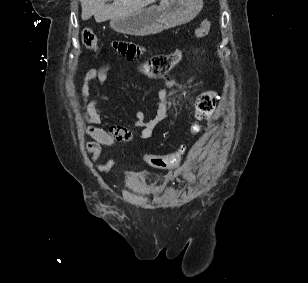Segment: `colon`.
Instances as JSON below:
<instances>
[{"instance_id":"1","label":"colon","mask_w":308,"mask_h":283,"mask_svg":"<svg viewBox=\"0 0 308 283\" xmlns=\"http://www.w3.org/2000/svg\"><path fill=\"white\" fill-rule=\"evenodd\" d=\"M210 30L211 22L207 20L195 29L194 35L197 38H203L209 34ZM81 37L86 47L93 50L98 48V38L92 29L84 28ZM180 58L179 52L158 54L142 63L140 71L143 75L150 78L167 77L168 73L179 63ZM217 98V92L214 90L203 91L197 96L194 103L193 122L190 128L191 134L195 135L201 131L203 125L215 109ZM183 152L184 146L181 145L167 155H148L147 162L159 169L174 168L178 165Z\"/></svg>"}]
</instances>
